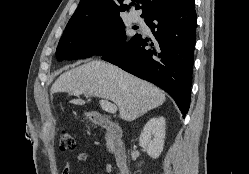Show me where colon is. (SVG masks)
Here are the masks:
<instances>
[{"instance_id": "obj_1", "label": "colon", "mask_w": 249, "mask_h": 174, "mask_svg": "<svg viewBox=\"0 0 249 174\" xmlns=\"http://www.w3.org/2000/svg\"><path fill=\"white\" fill-rule=\"evenodd\" d=\"M58 139L62 150H73L75 148V140L68 130L61 129L58 133Z\"/></svg>"}]
</instances>
